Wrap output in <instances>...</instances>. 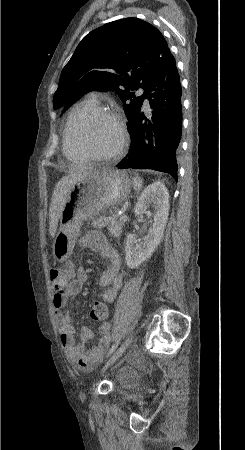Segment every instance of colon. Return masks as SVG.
Returning a JSON list of instances; mask_svg holds the SVG:
<instances>
[{
    "label": "colon",
    "instance_id": "1",
    "mask_svg": "<svg viewBox=\"0 0 245 450\" xmlns=\"http://www.w3.org/2000/svg\"><path fill=\"white\" fill-rule=\"evenodd\" d=\"M90 317L95 321H105L108 317V308L106 304L100 301L94 302L90 308Z\"/></svg>",
    "mask_w": 245,
    "mask_h": 450
}]
</instances>
